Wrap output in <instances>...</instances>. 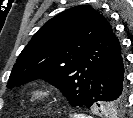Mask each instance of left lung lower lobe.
Returning a JSON list of instances; mask_svg holds the SVG:
<instances>
[{
  "label": "left lung lower lobe",
  "instance_id": "1",
  "mask_svg": "<svg viewBox=\"0 0 133 118\" xmlns=\"http://www.w3.org/2000/svg\"><path fill=\"white\" fill-rule=\"evenodd\" d=\"M124 59L116 38L106 59L94 75L84 106H102L117 99H126Z\"/></svg>",
  "mask_w": 133,
  "mask_h": 118
}]
</instances>
